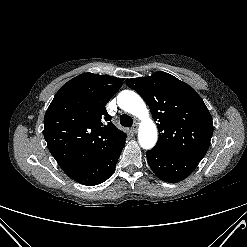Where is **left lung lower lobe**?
Masks as SVG:
<instances>
[{
  "instance_id": "left-lung-lower-lobe-1",
  "label": "left lung lower lobe",
  "mask_w": 247,
  "mask_h": 247,
  "mask_svg": "<svg viewBox=\"0 0 247 247\" xmlns=\"http://www.w3.org/2000/svg\"><path fill=\"white\" fill-rule=\"evenodd\" d=\"M152 171L165 182H178L188 177L198 166V161L182 158L154 147L147 151Z\"/></svg>"
}]
</instances>
